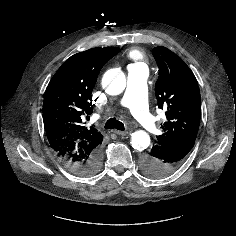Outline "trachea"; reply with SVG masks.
<instances>
[{"label": "trachea", "instance_id": "trachea-1", "mask_svg": "<svg viewBox=\"0 0 236 236\" xmlns=\"http://www.w3.org/2000/svg\"><path fill=\"white\" fill-rule=\"evenodd\" d=\"M104 128L105 129H117L120 131L125 130L124 124L122 122H120L119 120H117L116 118H110L109 120H107Z\"/></svg>", "mask_w": 236, "mask_h": 236}]
</instances>
